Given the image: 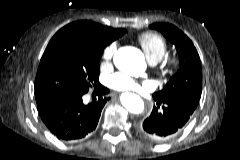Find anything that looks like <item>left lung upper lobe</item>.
Segmentation results:
<instances>
[{"label":"left lung upper lobe","instance_id":"left-lung-upper-lobe-1","mask_svg":"<svg viewBox=\"0 0 240 160\" xmlns=\"http://www.w3.org/2000/svg\"><path fill=\"white\" fill-rule=\"evenodd\" d=\"M157 29L176 47L180 67L166 86L153 94L154 99H175L198 105L202 92V69L198 52L192 41L177 27L168 23H155Z\"/></svg>","mask_w":240,"mask_h":160}]
</instances>
